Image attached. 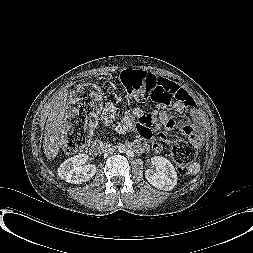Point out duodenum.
<instances>
[{"label": "duodenum", "instance_id": "duodenum-1", "mask_svg": "<svg viewBox=\"0 0 253 253\" xmlns=\"http://www.w3.org/2000/svg\"><path fill=\"white\" fill-rule=\"evenodd\" d=\"M104 148L105 146L102 144L92 143L89 147V154L92 156H97L103 151Z\"/></svg>", "mask_w": 253, "mask_h": 253}]
</instances>
